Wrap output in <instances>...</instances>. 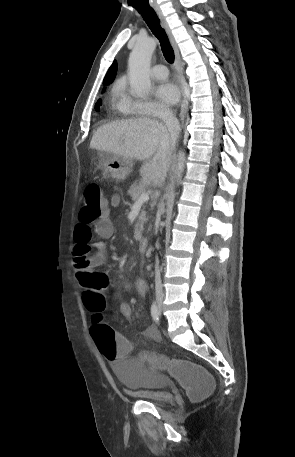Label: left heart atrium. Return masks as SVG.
<instances>
[{"label":"left heart atrium","instance_id":"39dd6f15","mask_svg":"<svg viewBox=\"0 0 295 457\" xmlns=\"http://www.w3.org/2000/svg\"><path fill=\"white\" fill-rule=\"evenodd\" d=\"M156 96L162 103L173 105L179 100L180 93L174 83L164 82L157 87Z\"/></svg>","mask_w":295,"mask_h":457}]
</instances>
